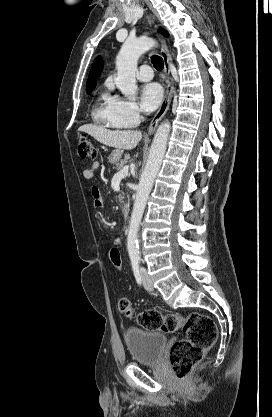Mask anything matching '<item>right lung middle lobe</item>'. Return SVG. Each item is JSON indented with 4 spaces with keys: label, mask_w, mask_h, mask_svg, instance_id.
<instances>
[{
    "label": "right lung middle lobe",
    "mask_w": 272,
    "mask_h": 417,
    "mask_svg": "<svg viewBox=\"0 0 272 417\" xmlns=\"http://www.w3.org/2000/svg\"><path fill=\"white\" fill-rule=\"evenodd\" d=\"M93 89H86L87 93L90 94Z\"/></svg>",
    "instance_id": "1"
}]
</instances>
